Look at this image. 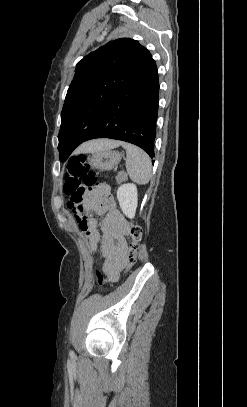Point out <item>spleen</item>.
Returning <instances> with one entry per match:
<instances>
[{"label":"spleen","instance_id":"3e777b00","mask_svg":"<svg viewBox=\"0 0 247 407\" xmlns=\"http://www.w3.org/2000/svg\"><path fill=\"white\" fill-rule=\"evenodd\" d=\"M121 145L126 150V169L130 179L140 185L147 184L152 176L150 157L135 145L126 142Z\"/></svg>","mask_w":247,"mask_h":407}]
</instances>
